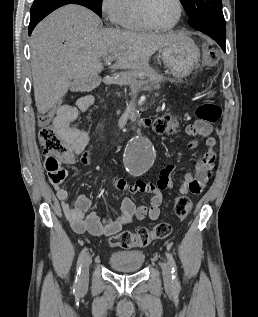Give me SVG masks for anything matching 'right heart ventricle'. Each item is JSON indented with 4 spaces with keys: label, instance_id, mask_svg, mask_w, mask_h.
I'll list each match as a JSON object with an SVG mask.
<instances>
[{
    "label": "right heart ventricle",
    "instance_id": "e07e8e85",
    "mask_svg": "<svg viewBox=\"0 0 258 317\" xmlns=\"http://www.w3.org/2000/svg\"><path fill=\"white\" fill-rule=\"evenodd\" d=\"M144 0H121V26L127 30L145 31L139 20V10Z\"/></svg>",
    "mask_w": 258,
    "mask_h": 317
}]
</instances>
